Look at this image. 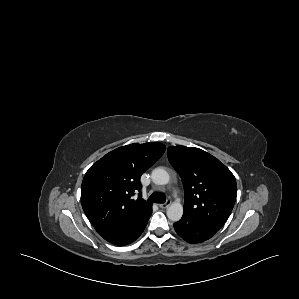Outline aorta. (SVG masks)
<instances>
[{"label":"aorta","mask_w":299,"mask_h":299,"mask_svg":"<svg viewBox=\"0 0 299 299\" xmlns=\"http://www.w3.org/2000/svg\"><path fill=\"white\" fill-rule=\"evenodd\" d=\"M152 181L157 185H166L170 181L168 172L163 168H155L151 173ZM183 206L180 202H173L167 209V217L177 222L182 218Z\"/></svg>","instance_id":"762f6f07"}]
</instances>
